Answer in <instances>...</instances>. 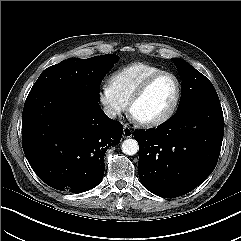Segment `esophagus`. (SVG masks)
<instances>
[{
    "instance_id": "obj_1",
    "label": "esophagus",
    "mask_w": 241,
    "mask_h": 241,
    "mask_svg": "<svg viewBox=\"0 0 241 241\" xmlns=\"http://www.w3.org/2000/svg\"><path fill=\"white\" fill-rule=\"evenodd\" d=\"M132 136H133V130L129 126L124 125L123 137L124 138H130Z\"/></svg>"
}]
</instances>
